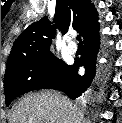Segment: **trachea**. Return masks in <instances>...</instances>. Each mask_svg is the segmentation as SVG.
<instances>
[{
    "label": "trachea",
    "instance_id": "obj_1",
    "mask_svg": "<svg viewBox=\"0 0 122 123\" xmlns=\"http://www.w3.org/2000/svg\"><path fill=\"white\" fill-rule=\"evenodd\" d=\"M76 39L79 41V44H82L80 35H78V36L76 37Z\"/></svg>",
    "mask_w": 122,
    "mask_h": 123
}]
</instances>
